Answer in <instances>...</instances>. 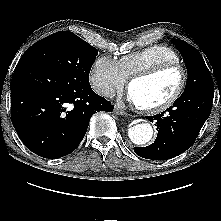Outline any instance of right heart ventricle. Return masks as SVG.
Here are the masks:
<instances>
[{
  "label": "right heart ventricle",
  "instance_id": "right-heart-ventricle-1",
  "mask_svg": "<svg viewBox=\"0 0 221 221\" xmlns=\"http://www.w3.org/2000/svg\"><path fill=\"white\" fill-rule=\"evenodd\" d=\"M168 62L179 63V55L169 46L155 44L123 55L118 65L125 77L129 78L138 71Z\"/></svg>",
  "mask_w": 221,
  "mask_h": 221
}]
</instances>
